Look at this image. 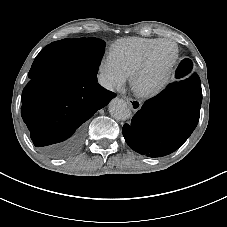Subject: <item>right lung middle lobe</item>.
Returning a JSON list of instances; mask_svg holds the SVG:
<instances>
[{"label":"right lung middle lobe","instance_id":"dd1d6c3e","mask_svg":"<svg viewBox=\"0 0 227 227\" xmlns=\"http://www.w3.org/2000/svg\"><path fill=\"white\" fill-rule=\"evenodd\" d=\"M73 46L69 56L62 65L74 71V74L96 76L104 53L105 42L96 38L72 39ZM45 75L37 68L31 67L28 77L34 78Z\"/></svg>","mask_w":227,"mask_h":227}]
</instances>
